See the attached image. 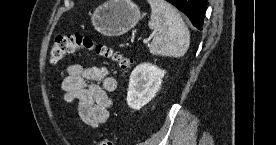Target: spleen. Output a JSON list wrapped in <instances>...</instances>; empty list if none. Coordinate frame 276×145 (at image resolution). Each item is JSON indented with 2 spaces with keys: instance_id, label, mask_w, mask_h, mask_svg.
I'll use <instances>...</instances> for the list:
<instances>
[{
  "instance_id": "1",
  "label": "spleen",
  "mask_w": 276,
  "mask_h": 145,
  "mask_svg": "<svg viewBox=\"0 0 276 145\" xmlns=\"http://www.w3.org/2000/svg\"><path fill=\"white\" fill-rule=\"evenodd\" d=\"M152 13L150 29L155 32L149 48L153 55L180 58L187 52L190 33L179 12L164 0H148Z\"/></svg>"
}]
</instances>
